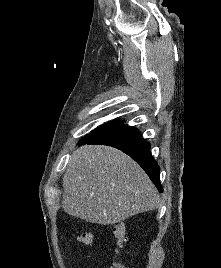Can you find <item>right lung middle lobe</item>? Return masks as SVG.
<instances>
[{
	"label": "right lung middle lobe",
	"instance_id": "right-lung-middle-lobe-1",
	"mask_svg": "<svg viewBox=\"0 0 221 268\" xmlns=\"http://www.w3.org/2000/svg\"><path fill=\"white\" fill-rule=\"evenodd\" d=\"M122 124H123L122 121L114 120L113 122H111V123H109V124H107V125H104V126L100 127V128L97 129L95 132H93V133L89 134L88 136H86L83 140H81V141L79 142V145L82 144V143H84L85 141H87V140H89V139H91V138L97 136V135H100V134H102V133H104V132H106V131H108V130H110V129L116 128V127H118V126H120V125H122Z\"/></svg>",
	"mask_w": 221,
	"mask_h": 268
}]
</instances>
